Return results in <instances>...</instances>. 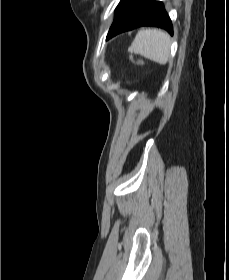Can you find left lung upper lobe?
Listing matches in <instances>:
<instances>
[{
    "mask_svg": "<svg viewBox=\"0 0 229 280\" xmlns=\"http://www.w3.org/2000/svg\"><path fill=\"white\" fill-rule=\"evenodd\" d=\"M129 0H121V2L119 3V5L117 6L116 8V11H115V20L114 22L117 20V18L120 16V14L122 13V11L124 10L126 4L128 3Z\"/></svg>",
    "mask_w": 229,
    "mask_h": 280,
    "instance_id": "obj_1",
    "label": "left lung upper lobe"
}]
</instances>
